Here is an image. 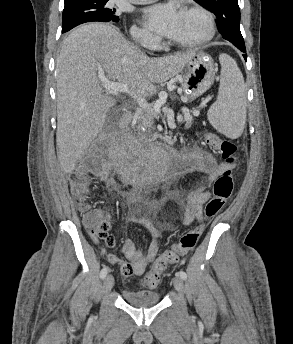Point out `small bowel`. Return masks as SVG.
<instances>
[{
  "label": "small bowel",
  "instance_id": "small-bowel-1",
  "mask_svg": "<svg viewBox=\"0 0 293 344\" xmlns=\"http://www.w3.org/2000/svg\"><path fill=\"white\" fill-rule=\"evenodd\" d=\"M184 154L187 156V161L182 164L180 171L185 174L200 173L205 176L200 185L185 194L182 221L185 225H190L194 221H200L203 217V205L211 198V192L208 190L210 184L225 170L233 168L234 165L218 163L212 154L197 147L191 148ZM127 220L129 223L142 225L148 230L150 242L147 252L144 254L136 248L130 239H126L121 247L124 259L115 254H107L106 259L111 264L120 266L124 276H141L159 252L158 237L160 230L168 228L170 224L166 221H159L157 226L135 215H129ZM103 239L108 246H114L115 239L111 234L103 237ZM92 240L95 244L99 242L97 237H93Z\"/></svg>",
  "mask_w": 293,
  "mask_h": 344
}]
</instances>
